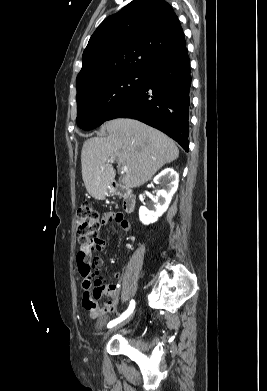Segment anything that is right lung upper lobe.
Returning a JSON list of instances; mask_svg holds the SVG:
<instances>
[{
	"instance_id": "right-lung-upper-lobe-1",
	"label": "right lung upper lobe",
	"mask_w": 267,
	"mask_h": 391,
	"mask_svg": "<svg viewBox=\"0 0 267 391\" xmlns=\"http://www.w3.org/2000/svg\"><path fill=\"white\" fill-rule=\"evenodd\" d=\"M185 47L179 20L166 1L133 0L105 19L91 36L76 79L77 92L100 76L145 72Z\"/></svg>"
}]
</instances>
